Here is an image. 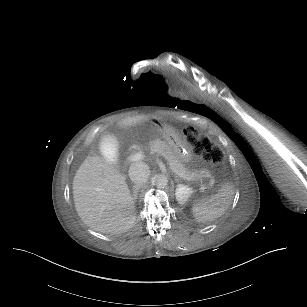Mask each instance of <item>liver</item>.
I'll use <instances>...</instances> for the list:
<instances>
[{
	"label": "liver",
	"instance_id": "6515ba94",
	"mask_svg": "<svg viewBox=\"0 0 307 307\" xmlns=\"http://www.w3.org/2000/svg\"><path fill=\"white\" fill-rule=\"evenodd\" d=\"M148 120V116L127 117L119 122L129 127ZM75 208L81 220L101 233H121L136 220L134 202L125 177L100 156H88L73 180Z\"/></svg>",
	"mask_w": 307,
	"mask_h": 307
}]
</instances>
